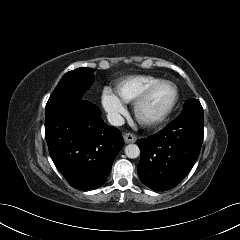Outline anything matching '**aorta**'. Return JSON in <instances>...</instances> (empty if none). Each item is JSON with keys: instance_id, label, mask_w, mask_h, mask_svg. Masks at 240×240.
<instances>
[{"instance_id": "obj_1", "label": "aorta", "mask_w": 240, "mask_h": 240, "mask_svg": "<svg viewBox=\"0 0 240 240\" xmlns=\"http://www.w3.org/2000/svg\"><path fill=\"white\" fill-rule=\"evenodd\" d=\"M125 155L128 158L134 159L140 155V149L136 144H129L125 147Z\"/></svg>"}]
</instances>
